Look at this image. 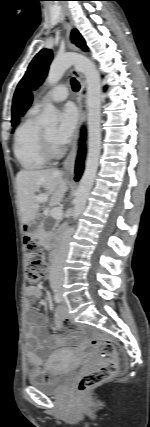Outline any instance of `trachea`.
<instances>
[{"mask_svg":"<svg viewBox=\"0 0 150 427\" xmlns=\"http://www.w3.org/2000/svg\"><path fill=\"white\" fill-rule=\"evenodd\" d=\"M71 85H72V89L74 91H78L79 90V83L77 82V80L75 78H71Z\"/></svg>","mask_w":150,"mask_h":427,"instance_id":"3493384b","label":"trachea"}]
</instances>
